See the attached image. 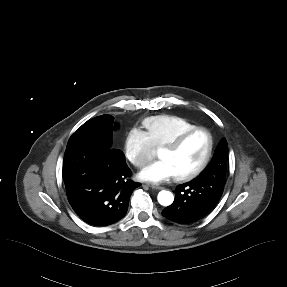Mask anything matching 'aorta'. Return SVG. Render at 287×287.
Wrapping results in <instances>:
<instances>
[{
    "mask_svg": "<svg viewBox=\"0 0 287 287\" xmlns=\"http://www.w3.org/2000/svg\"><path fill=\"white\" fill-rule=\"evenodd\" d=\"M157 200L162 206H169L174 201V196L170 191L162 190L158 193Z\"/></svg>",
    "mask_w": 287,
    "mask_h": 287,
    "instance_id": "1",
    "label": "aorta"
}]
</instances>
